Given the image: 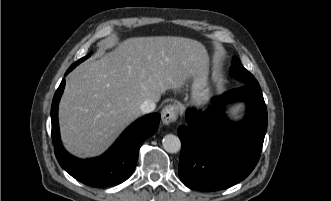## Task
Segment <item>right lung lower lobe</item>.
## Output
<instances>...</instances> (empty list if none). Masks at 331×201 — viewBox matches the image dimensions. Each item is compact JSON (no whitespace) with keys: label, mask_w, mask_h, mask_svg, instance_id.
Segmentation results:
<instances>
[{"label":"right lung lower lobe","mask_w":331,"mask_h":201,"mask_svg":"<svg viewBox=\"0 0 331 201\" xmlns=\"http://www.w3.org/2000/svg\"><path fill=\"white\" fill-rule=\"evenodd\" d=\"M71 70L69 68L66 74ZM64 87L63 79L54 95L51 107L52 141L58 162L76 180L92 187H105L124 182L136 167L140 146L157 130L160 114L152 113L136 120L102 156L80 160L67 153L60 140L58 102Z\"/></svg>","instance_id":"1"}]
</instances>
